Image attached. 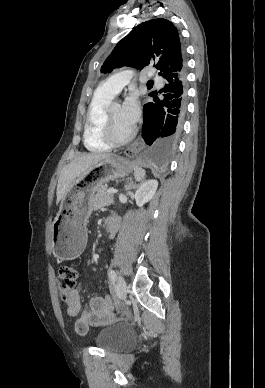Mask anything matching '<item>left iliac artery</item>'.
Segmentation results:
<instances>
[{
  "instance_id": "1",
  "label": "left iliac artery",
  "mask_w": 265,
  "mask_h": 388,
  "mask_svg": "<svg viewBox=\"0 0 265 388\" xmlns=\"http://www.w3.org/2000/svg\"><path fill=\"white\" fill-rule=\"evenodd\" d=\"M109 277H110V281H111V284H114L115 280H116V272L112 269L109 270Z\"/></svg>"
}]
</instances>
